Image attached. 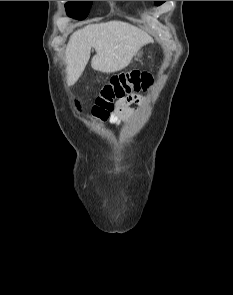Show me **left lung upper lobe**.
I'll use <instances>...</instances> for the list:
<instances>
[{
  "label": "left lung upper lobe",
  "mask_w": 233,
  "mask_h": 295,
  "mask_svg": "<svg viewBox=\"0 0 233 295\" xmlns=\"http://www.w3.org/2000/svg\"><path fill=\"white\" fill-rule=\"evenodd\" d=\"M155 5H161L162 3H164L165 1H154Z\"/></svg>",
  "instance_id": "left-lung-upper-lobe-1"
}]
</instances>
